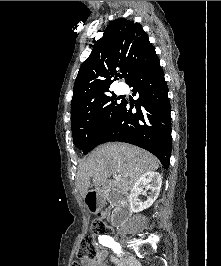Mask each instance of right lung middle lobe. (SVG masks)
<instances>
[{"label":"right lung middle lobe","mask_w":221,"mask_h":266,"mask_svg":"<svg viewBox=\"0 0 221 266\" xmlns=\"http://www.w3.org/2000/svg\"><path fill=\"white\" fill-rule=\"evenodd\" d=\"M118 99L114 94L109 96L108 92L102 94L88 111L71 118L73 143L84 154L98 145L117 119L124 104V100L117 103Z\"/></svg>","instance_id":"obj_1"}]
</instances>
